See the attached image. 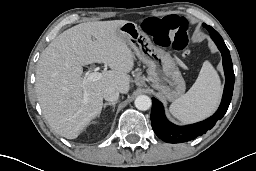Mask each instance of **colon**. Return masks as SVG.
<instances>
[{"label": "colon", "instance_id": "1", "mask_svg": "<svg viewBox=\"0 0 256 171\" xmlns=\"http://www.w3.org/2000/svg\"><path fill=\"white\" fill-rule=\"evenodd\" d=\"M190 23L179 16L151 17L142 22V29L161 47L184 50L188 43Z\"/></svg>", "mask_w": 256, "mask_h": 171}]
</instances>
